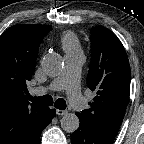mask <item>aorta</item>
Returning a JSON list of instances; mask_svg holds the SVG:
<instances>
[{
	"label": "aorta",
	"mask_w": 144,
	"mask_h": 144,
	"mask_svg": "<svg viewBox=\"0 0 144 144\" xmlns=\"http://www.w3.org/2000/svg\"><path fill=\"white\" fill-rule=\"evenodd\" d=\"M41 66L43 71L51 77L58 76L64 67L62 57L57 53L46 54L42 61ZM61 127L64 131L72 133L79 127L80 121L76 114L67 113L60 120Z\"/></svg>",
	"instance_id": "obj_1"
}]
</instances>
